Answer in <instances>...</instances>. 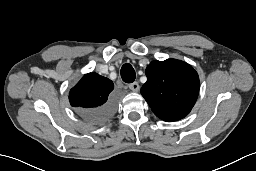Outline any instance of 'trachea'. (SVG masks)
<instances>
[{"label": "trachea", "instance_id": "1", "mask_svg": "<svg viewBox=\"0 0 256 171\" xmlns=\"http://www.w3.org/2000/svg\"><path fill=\"white\" fill-rule=\"evenodd\" d=\"M121 78L125 83H132L136 78L135 70L130 64H124L121 68Z\"/></svg>", "mask_w": 256, "mask_h": 171}]
</instances>
